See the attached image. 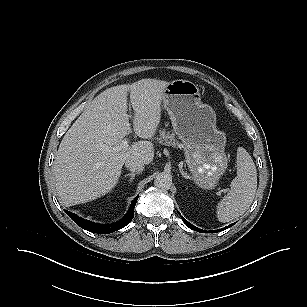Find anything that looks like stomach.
Instances as JSON below:
<instances>
[{
	"label": "stomach",
	"instance_id": "1",
	"mask_svg": "<svg viewBox=\"0 0 307 307\" xmlns=\"http://www.w3.org/2000/svg\"><path fill=\"white\" fill-rule=\"evenodd\" d=\"M162 101L195 182L204 189L215 187L228 164L226 137L216 127L215 111L201 101L198 86L188 80L169 82Z\"/></svg>",
	"mask_w": 307,
	"mask_h": 307
}]
</instances>
